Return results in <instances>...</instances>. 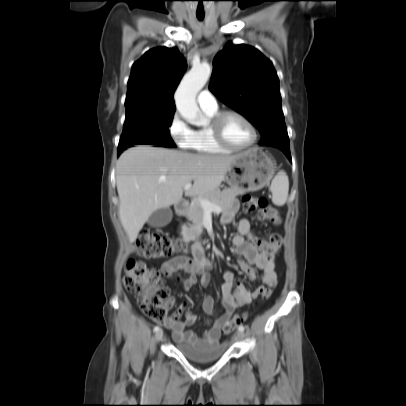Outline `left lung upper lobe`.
I'll return each instance as SVG.
<instances>
[{
	"instance_id": "1",
	"label": "left lung upper lobe",
	"mask_w": 406,
	"mask_h": 406,
	"mask_svg": "<svg viewBox=\"0 0 406 406\" xmlns=\"http://www.w3.org/2000/svg\"><path fill=\"white\" fill-rule=\"evenodd\" d=\"M213 67L210 91L259 130V144L289 147L279 79L271 61L254 47L227 43Z\"/></svg>"
}]
</instances>
